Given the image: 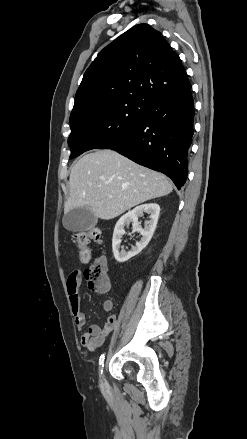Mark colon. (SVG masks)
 Returning a JSON list of instances; mask_svg holds the SVG:
<instances>
[{"label": "colon", "mask_w": 247, "mask_h": 439, "mask_svg": "<svg viewBox=\"0 0 247 439\" xmlns=\"http://www.w3.org/2000/svg\"><path fill=\"white\" fill-rule=\"evenodd\" d=\"M73 242L79 249V261L82 264H87L91 259V252L88 246L90 243L101 244V233L97 228H89L76 233L73 236ZM84 276L91 291L104 293L109 290L110 281L106 260L103 256L98 257L85 269Z\"/></svg>", "instance_id": "5ec220e1"}]
</instances>
